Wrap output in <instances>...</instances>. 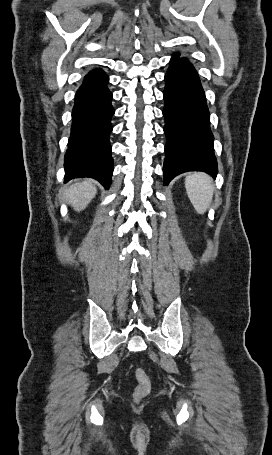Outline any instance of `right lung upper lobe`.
I'll use <instances>...</instances> for the list:
<instances>
[{"label":"right lung upper lobe","mask_w":272,"mask_h":455,"mask_svg":"<svg viewBox=\"0 0 272 455\" xmlns=\"http://www.w3.org/2000/svg\"><path fill=\"white\" fill-rule=\"evenodd\" d=\"M101 71H102L101 69H94V70L90 71V72L88 73V75L96 74V73H99V72H101Z\"/></svg>","instance_id":"1"}]
</instances>
